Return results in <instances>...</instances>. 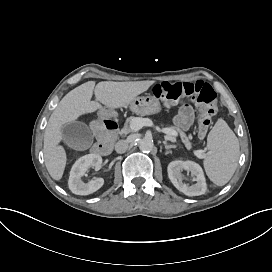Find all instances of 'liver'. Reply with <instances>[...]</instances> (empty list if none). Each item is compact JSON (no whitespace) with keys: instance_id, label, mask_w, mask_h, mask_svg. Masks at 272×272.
<instances>
[{"instance_id":"obj_1","label":"liver","mask_w":272,"mask_h":272,"mask_svg":"<svg viewBox=\"0 0 272 272\" xmlns=\"http://www.w3.org/2000/svg\"><path fill=\"white\" fill-rule=\"evenodd\" d=\"M156 82V80L99 83L87 81L67 93L51 114L44 132L43 153L50 176L56 181L61 180L67 163L65 148L60 145L64 140L62 125L102 110V105L115 110L129 106ZM93 94L102 105L97 101H91Z\"/></svg>"}]
</instances>
